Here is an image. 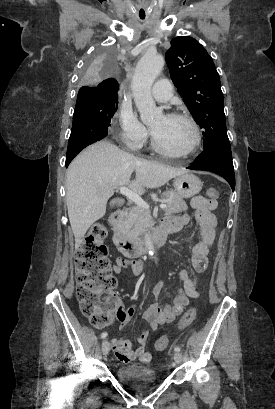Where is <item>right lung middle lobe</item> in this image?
Segmentation results:
<instances>
[{
    "mask_svg": "<svg viewBox=\"0 0 275 409\" xmlns=\"http://www.w3.org/2000/svg\"><path fill=\"white\" fill-rule=\"evenodd\" d=\"M119 58V50H90L81 73L82 89H94L96 85H100L101 79H110L111 73H118L119 65L115 64V59ZM117 107L118 98L115 96L98 97L78 93L67 147L66 167L82 149L107 136Z\"/></svg>",
    "mask_w": 275,
    "mask_h": 409,
    "instance_id": "obj_1",
    "label": "right lung middle lobe"
}]
</instances>
